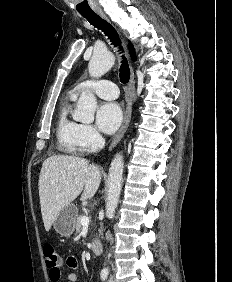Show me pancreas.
Listing matches in <instances>:
<instances>
[{"label":"pancreas","mask_w":232,"mask_h":282,"mask_svg":"<svg viewBox=\"0 0 232 282\" xmlns=\"http://www.w3.org/2000/svg\"><path fill=\"white\" fill-rule=\"evenodd\" d=\"M84 215H79L76 219V222H75V228H76V233H79L82 229V224H81V218L83 217Z\"/></svg>","instance_id":"obj_1"}]
</instances>
